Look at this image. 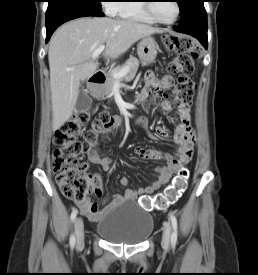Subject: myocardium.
Returning <instances> with one entry per match:
<instances>
[{"instance_id": "1", "label": "myocardium", "mask_w": 258, "mask_h": 275, "mask_svg": "<svg viewBox=\"0 0 258 275\" xmlns=\"http://www.w3.org/2000/svg\"><path fill=\"white\" fill-rule=\"evenodd\" d=\"M145 2H153V1H145ZM174 3H175V6H176V16L173 20L171 21H163L161 19H159L155 13H154V9H153V4L154 3H144V8L147 12V14L156 22V23H159V24H164V25H171L173 23H175L179 16H180V13H181V8H180V5L178 3V1L174 0Z\"/></svg>"}]
</instances>
